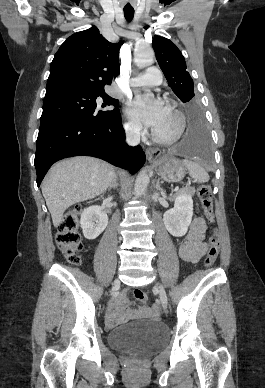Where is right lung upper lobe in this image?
Here are the masks:
<instances>
[{
  "label": "right lung upper lobe",
  "instance_id": "obj_1",
  "mask_svg": "<svg viewBox=\"0 0 265 388\" xmlns=\"http://www.w3.org/2000/svg\"><path fill=\"white\" fill-rule=\"evenodd\" d=\"M121 44L107 41L95 26L70 36L51 63L45 96L103 91L120 72Z\"/></svg>",
  "mask_w": 265,
  "mask_h": 388
}]
</instances>
